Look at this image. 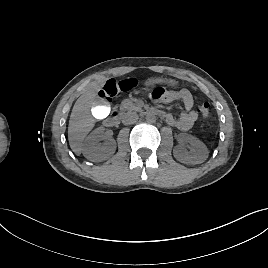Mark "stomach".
Returning <instances> with one entry per match:
<instances>
[{"instance_id":"0dacf381","label":"stomach","mask_w":268,"mask_h":268,"mask_svg":"<svg viewBox=\"0 0 268 268\" xmlns=\"http://www.w3.org/2000/svg\"><path fill=\"white\" fill-rule=\"evenodd\" d=\"M145 86L146 87H154L157 84H167L170 87L178 88L179 87V82L171 79V78H163V77H151L148 78L145 81Z\"/></svg>"}]
</instances>
